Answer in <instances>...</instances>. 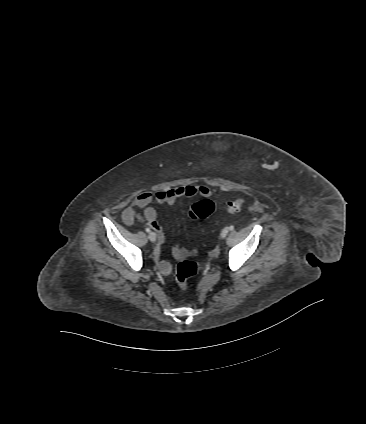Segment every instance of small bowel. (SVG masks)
<instances>
[{
  "label": "small bowel",
  "instance_id": "1",
  "mask_svg": "<svg viewBox=\"0 0 366 424\" xmlns=\"http://www.w3.org/2000/svg\"><path fill=\"white\" fill-rule=\"evenodd\" d=\"M212 191L205 185H185L176 188L161 189L156 192H145L136 196L130 204L123 210L122 219L127 226H131L136 220L151 227L158 235V245L154 249V256L159 257L161 253L162 244L165 241V236L162 227L156 222L157 211L150 204L155 201L158 204L173 205L177 200L183 198L202 197L206 198L211 196ZM143 210L140 214L138 210ZM179 253L180 249H176ZM160 270L167 274L171 269V265L162 261L159 264Z\"/></svg>",
  "mask_w": 366,
  "mask_h": 424
}]
</instances>
